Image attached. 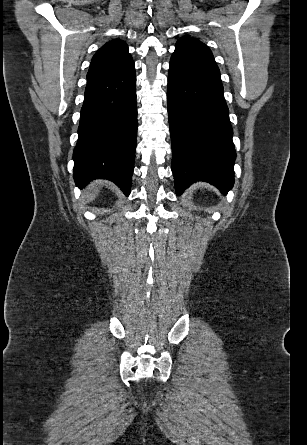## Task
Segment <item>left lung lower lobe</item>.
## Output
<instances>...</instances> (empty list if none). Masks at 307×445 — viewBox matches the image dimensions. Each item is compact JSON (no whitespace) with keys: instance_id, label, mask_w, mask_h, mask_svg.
Returning a JSON list of instances; mask_svg holds the SVG:
<instances>
[{"instance_id":"obj_1","label":"left lung lower lobe","mask_w":307,"mask_h":445,"mask_svg":"<svg viewBox=\"0 0 307 445\" xmlns=\"http://www.w3.org/2000/svg\"><path fill=\"white\" fill-rule=\"evenodd\" d=\"M167 101L177 195L196 181L226 195L236 153L221 81L172 56Z\"/></svg>"}]
</instances>
